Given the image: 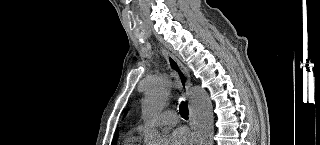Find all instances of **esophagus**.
<instances>
[{"label": "esophagus", "instance_id": "obj_1", "mask_svg": "<svg viewBox=\"0 0 320 145\" xmlns=\"http://www.w3.org/2000/svg\"><path fill=\"white\" fill-rule=\"evenodd\" d=\"M162 53L165 56L168 66L171 69L172 73L177 79L180 92L186 96L188 99V108H189V126L193 130V108L191 102V81L190 76L181 64V62L176 58L175 55L170 53L168 50L162 48Z\"/></svg>", "mask_w": 320, "mask_h": 145}]
</instances>
